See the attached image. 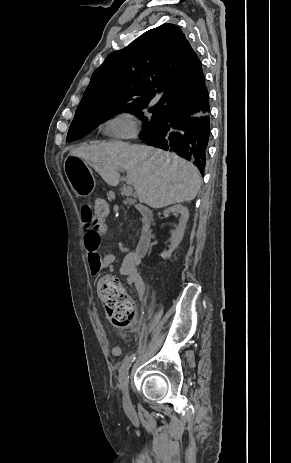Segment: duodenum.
Segmentation results:
<instances>
[{
    "instance_id": "1",
    "label": "duodenum",
    "mask_w": 291,
    "mask_h": 463,
    "mask_svg": "<svg viewBox=\"0 0 291 463\" xmlns=\"http://www.w3.org/2000/svg\"><path fill=\"white\" fill-rule=\"evenodd\" d=\"M135 212L137 214L141 213L145 224L136 247V253L139 256H144L150 247L151 239L153 236L152 230L150 228V224L153 220V211L151 209H147L144 203H139L136 206Z\"/></svg>"
}]
</instances>
